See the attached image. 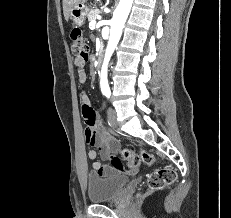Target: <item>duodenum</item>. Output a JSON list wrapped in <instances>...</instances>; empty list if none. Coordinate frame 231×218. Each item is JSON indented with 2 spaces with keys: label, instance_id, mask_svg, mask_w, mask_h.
<instances>
[{
  "label": "duodenum",
  "instance_id": "410a0bca",
  "mask_svg": "<svg viewBox=\"0 0 231 218\" xmlns=\"http://www.w3.org/2000/svg\"><path fill=\"white\" fill-rule=\"evenodd\" d=\"M103 59V53L101 50H99L95 56V63L96 65H100Z\"/></svg>",
  "mask_w": 231,
  "mask_h": 218
}]
</instances>
